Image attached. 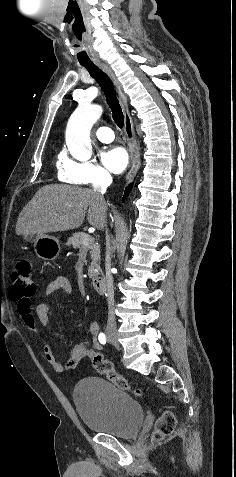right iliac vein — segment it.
<instances>
[{"mask_svg":"<svg viewBox=\"0 0 236 477\" xmlns=\"http://www.w3.org/2000/svg\"><path fill=\"white\" fill-rule=\"evenodd\" d=\"M108 340L110 343H112L113 345H115L117 348H119V345H118V341H117V335L115 332H110L108 334Z\"/></svg>","mask_w":236,"mask_h":477,"instance_id":"1","label":"right iliac vein"}]
</instances>
